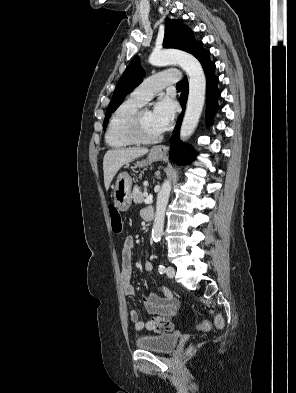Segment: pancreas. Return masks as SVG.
Wrapping results in <instances>:
<instances>
[{
	"instance_id": "1",
	"label": "pancreas",
	"mask_w": 296,
	"mask_h": 393,
	"mask_svg": "<svg viewBox=\"0 0 296 393\" xmlns=\"http://www.w3.org/2000/svg\"><path fill=\"white\" fill-rule=\"evenodd\" d=\"M145 190V188H144ZM133 201L135 204H141L144 200L146 195L140 191V187L135 186L132 192Z\"/></svg>"
}]
</instances>
